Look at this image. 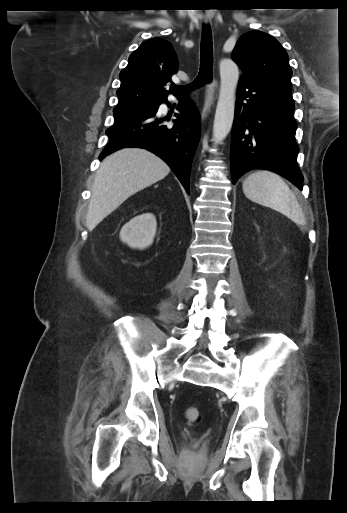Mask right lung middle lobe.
<instances>
[{"mask_svg":"<svg viewBox=\"0 0 347 513\" xmlns=\"http://www.w3.org/2000/svg\"><path fill=\"white\" fill-rule=\"evenodd\" d=\"M156 103L157 102L149 101V102L140 103V104H137L134 106H117L114 108L113 112H114V115H117V114L126 113V112H130V111L147 109V108L154 106Z\"/></svg>","mask_w":347,"mask_h":513,"instance_id":"right-lung-middle-lobe-1","label":"right lung middle lobe"}]
</instances>
